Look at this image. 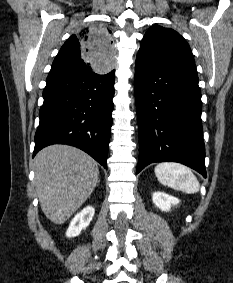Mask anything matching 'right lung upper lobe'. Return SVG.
<instances>
[{
	"mask_svg": "<svg viewBox=\"0 0 233 283\" xmlns=\"http://www.w3.org/2000/svg\"><path fill=\"white\" fill-rule=\"evenodd\" d=\"M106 27H85L73 34L61 47L53 61L49 75L91 71L113 70L116 38H110ZM101 59V60H99Z\"/></svg>",
	"mask_w": 233,
	"mask_h": 283,
	"instance_id": "cb5924a9",
	"label": "right lung upper lobe"
}]
</instances>
